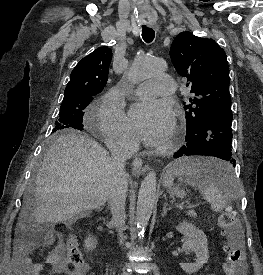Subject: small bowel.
Returning a JSON list of instances; mask_svg holds the SVG:
<instances>
[{
    "instance_id": "small-bowel-1",
    "label": "small bowel",
    "mask_w": 263,
    "mask_h": 275,
    "mask_svg": "<svg viewBox=\"0 0 263 275\" xmlns=\"http://www.w3.org/2000/svg\"><path fill=\"white\" fill-rule=\"evenodd\" d=\"M54 242V234L52 231H48L41 244L36 245L34 243L28 244L24 247L21 255L19 256V264L21 267L22 275H43L44 263L34 261L32 257L29 256V253L33 250H37L39 255H42L43 250L52 245ZM45 263L50 266L49 272L47 275H58V274H67V275H86L87 265L83 268H73L69 270V262L64 254L63 246L58 244L52 248L46 258ZM213 275V274H208Z\"/></svg>"
}]
</instances>
